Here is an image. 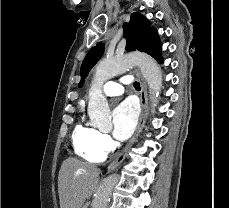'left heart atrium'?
Masks as SVG:
<instances>
[{"label": "left heart atrium", "mask_w": 229, "mask_h": 208, "mask_svg": "<svg viewBox=\"0 0 229 208\" xmlns=\"http://www.w3.org/2000/svg\"><path fill=\"white\" fill-rule=\"evenodd\" d=\"M137 122V108L129 100L119 104L113 112V135L119 141L126 140Z\"/></svg>", "instance_id": "1"}]
</instances>
